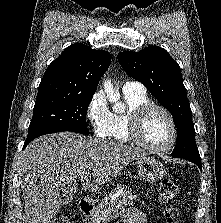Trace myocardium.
<instances>
[{
    "label": "myocardium",
    "instance_id": "obj_1",
    "mask_svg": "<svg viewBox=\"0 0 221 223\" xmlns=\"http://www.w3.org/2000/svg\"><path fill=\"white\" fill-rule=\"evenodd\" d=\"M160 110L163 112L171 125L172 136L170 141L164 146H154L146 142L141 136L142 125L146 115L152 110ZM128 134L130 139L136 143L138 146L142 147L145 150L153 152H165L171 149L177 142L178 139V126L173 114L163 105L155 103H146L138 108H136L132 114L130 123L128 126Z\"/></svg>",
    "mask_w": 221,
    "mask_h": 223
}]
</instances>
